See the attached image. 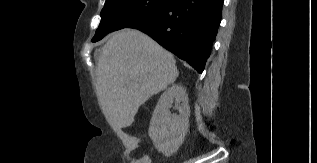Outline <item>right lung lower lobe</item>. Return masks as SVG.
<instances>
[{
  "mask_svg": "<svg viewBox=\"0 0 317 163\" xmlns=\"http://www.w3.org/2000/svg\"><path fill=\"white\" fill-rule=\"evenodd\" d=\"M224 0H169L131 24L202 73L221 21Z\"/></svg>",
  "mask_w": 317,
  "mask_h": 163,
  "instance_id": "98d812e1",
  "label": "right lung lower lobe"
}]
</instances>
